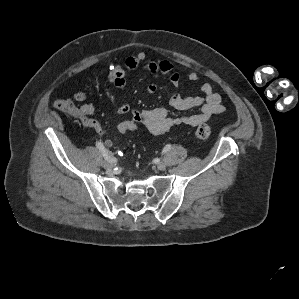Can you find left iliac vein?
Listing matches in <instances>:
<instances>
[{
    "label": "left iliac vein",
    "instance_id": "obj_1",
    "mask_svg": "<svg viewBox=\"0 0 299 299\" xmlns=\"http://www.w3.org/2000/svg\"><path fill=\"white\" fill-rule=\"evenodd\" d=\"M156 167H157V169L160 170V171H164V170L166 169V165H165V163H163V162H158V163L156 164Z\"/></svg>",
    "mask_w": 299,
    "mask_h": 299
}]
</instances>
